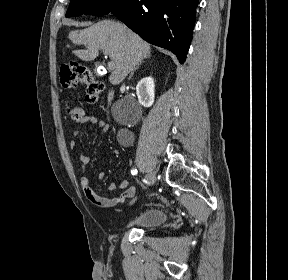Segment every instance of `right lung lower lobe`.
I'll use <instances>...</instances> for the list:
<instances>
[{"label": "right lung lower lobe", "instance_id": "1", "mask_svg": "<svg viewBox=\"0 0 288 280\" xmlns=\"http://www.w3.org/2000/svg\"><path fill=\"white\" fill-rule=\"evenodd\" d=\"M198 0H126L110 12L147 42L186 60Z\"/></svg>", "mask_w": 288, "mask_h": 280}]
</instances>
